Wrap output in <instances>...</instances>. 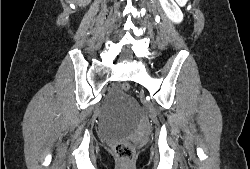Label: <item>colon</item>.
Here are the masks:
<instances>
[{
  "mask_svg": "<svg viewBox=\"0 0 250 169\" xmlns=\"http://www.w3.org/2000/svg\"><path fill=\"white\" fill-rule=\"evenodd\" d=\"M123 85L124 93H131V88ZM135 143H139V138H130V141H124V138H115L111 141V150L116 155L117 169H136V150Z\"/></svg>",
  "mask_w": 250,
  "mask_h": 169,
  "instance_id": "obj_1",
  "label": "colon"
}]
</instances>
